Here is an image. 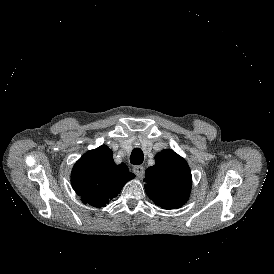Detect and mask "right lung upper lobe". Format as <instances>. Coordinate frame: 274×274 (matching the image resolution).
<instances>
[{"label": "right lung upper lobe", "instance_id": "cb5924a9", "mask_svg": "<svg viewBox=\"0 0 274 274\" xmlns=\"http://www.w3.org/2000/svg\"><path fill=\"white\" fill-rule=\"evenodd\" d=\"M134 177L124 163L116 165L113 152L102 145L88 151L76 162L71 184L83 203L103 207Z\"/></svg>", "mask_w": 274, "mask_h": 274}]
</instances>
